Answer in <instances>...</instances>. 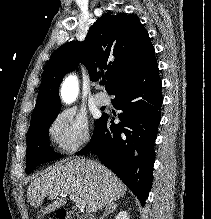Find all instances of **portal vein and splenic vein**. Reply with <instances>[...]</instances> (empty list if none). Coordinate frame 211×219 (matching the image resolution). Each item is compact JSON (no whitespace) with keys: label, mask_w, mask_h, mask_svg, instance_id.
<instances>
[{"label":"portal vein and splenic vein","mask_w":211,"mask_h":219,"mask_svg":"<svg viewBox=\"0 0 211 219\" xmlns=\"http://www.w3.org/2000/svg\"><path fill=\"white\" fill-rule=\"evenodd\" d=\"M52 198H56L57 197V194L56 195H52L51 196ZM70 200L73 201L76 205V207L78 208H84L85 205L83 204V202L81 201V199L77 196V195H70Z\"/></svg>","instance_id":"obj_1"}]
</instances>
